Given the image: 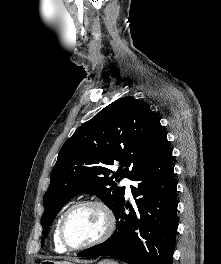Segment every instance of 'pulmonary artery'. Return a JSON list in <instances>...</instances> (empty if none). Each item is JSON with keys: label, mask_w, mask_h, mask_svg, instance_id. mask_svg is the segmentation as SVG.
I'll use <instances>...</instances> for the list:
<instances>
[{"label": "pulmonary artery", "mask_w": 221, "mask_h": 264, "mask_svg": "<svg viewBox=\"0 0 221 264\" xmlns=\"http://www.w3.org/2000/svg\"><path fill=\"white\" fill-rule=\"evenodd\" d=\"M121 183H122V185H124L126 187V193L128 195H130L131 194V189H130L131 181H130V179L125 177V178H123Z\"/></svg>", "instance_id": "e3ab8cb5"}]
</instances>
